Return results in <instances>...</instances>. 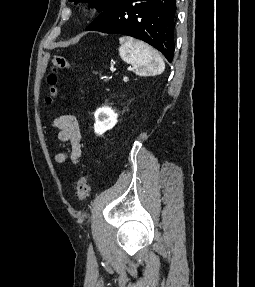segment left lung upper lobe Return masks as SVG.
<instances>
[{
  "instance_id": "obj_1",
  "label": "left lung upper lobe",
  "mask_w": 255,
  "mask_h": 287,
  "mask_svg": "<svg viewBox=\"0 0 255 287\" xmlns=\"http://www.w3.org/2000/svg\"><path fill=\"white\" fill-rule=\"evenodd\" d=\"M70 2H80V1H89L91 4L97 8L98 12L105 10V8L113 1V0H68Z\"/></svg>"
}]
</instances>
